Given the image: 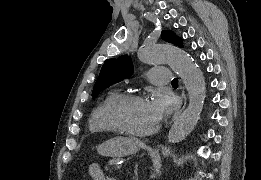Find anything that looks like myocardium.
Here are the masks:
<instances>
[{"label": "myocardium", "instance_id": "myocardium-1", "mask_svg": "<svg viewBox=\"0 0 261 180\" xmlns=\"http://www.w3.org/2000/svg\"><path fill=\"white\" fill-rule=\"evenodd\" d=\"M143 95L141 93L138 92H131V93H125L122 94L119 98L116 99V101L113 103V105L108 109V120L110 123V126L113 130V134L115 136H126L132 139H145V140H149L152 139L159 131L160 127H161V119L159 117L157 124L155 125V127L147 134L140 136V137H136V136H129L124 134L121 125L119 124V122L115 119L114 117V112L115 110H117L120 107L123 106H127L129 103H131L132 101L138 100V99H142Z\"/></svg>", "mask_w": 261, "mask_h": 180}]
</instances>
